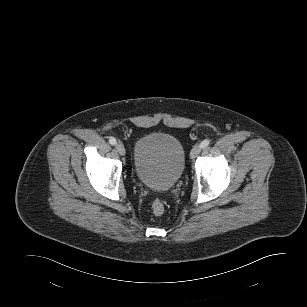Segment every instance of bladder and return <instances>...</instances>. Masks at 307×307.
<instances>
[{
    "label": "bladder",
    "instance_id": "obj_1",
    "mask_svg": "<svg viewBox=\"0 0 307 307\" xmlns=\"http://www.w3.org/2000/svg\"><path fill=\"white\" fill-rule=\"evenodd\" d=\"M133 167L137 179L156 191L171 189L185 168V150L173 135L151 133L135 144Z\"/></svg>",
    "mask_w": 307,
    "mask_h": 307
}]
</instances>
